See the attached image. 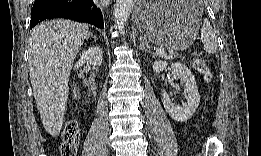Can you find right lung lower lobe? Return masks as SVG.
<instances>
[{
  "instance_id": "98d812e1",
  "label": "right lung lower lobe",
  "mask_w": 261,
  "mask_h": 156,
  "mask_svg": "<svg viewBox=\"0 0 261 156\" xmlns=\"http://www.w3.org/2000/svg\"><path fill=\"white\" fill-rule=\"evenodd\" d=\"M50 18H66L104 28L102 12L92 0H35L31 28Z\"/></svg>"
}]
</instances>
